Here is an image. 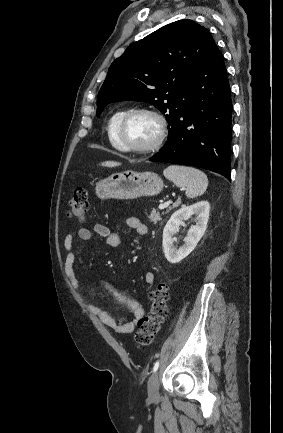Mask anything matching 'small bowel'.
I'll return each instance as SVG.
<instances>
[{
  "label": "small bowel",
  "mask_w": 283,
  "mask_h": 433,
  "mask_svg": "<svg viewBox=\"0 0 283 433\" xmlns=\"http://www.w3.org/2000/svg\"><path fill=\"white\" fill-rule=\"evenodd\" d=\"M126 225L135 230L139 235H146L148 233V227L143 224L138 218L130 217L126 220ZM95 236L103 239L107 245L111 247H117L121 243V235L117 231H111L107 226L97 223L93 229L82 227L77 231V237L83 241H91ZM74 245V235L72 233L66 235L63 247L66 252L64 270L65 274L75 288L78 295L86 303L88 310L96 315L99 320L106 325L108 328L119 334L132 333L139 321L145 315V309L140 302L133 299L132 297L124 294L117 293V299L122 302L131 312L130 317L122 319L114 318L108 311L95 304L86 294L84 286L77 278L74 270L75 254L72 252ZM144 281L147 285H152L155 281V275L153 272H146L144 275Z\"/></svg>",
  "instance_id": "small-bowel-1"
}]
</instances>
